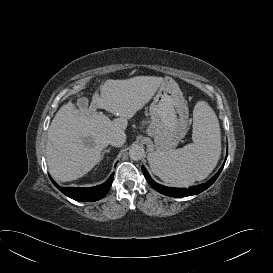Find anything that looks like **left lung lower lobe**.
<instances>
[{"mask_svg": "<svg viewBox=\"0 0 273 273\" xmlns=\"http://www.w3.org/2000/svg\"><path fill=\"white\" fill-rule=\"evenodd\" d=\"M224 164L222 165L220 170L217 172V174H215L208 182L201 184V185L192 186L189 189H187V188H172V187H166V186L160 185L152 180V178L149 176L148 172L146 171V169L143 166H142V172H143L147 182L151 185V187L154 188L155 190H157L158 192H160L161 194H164V195H167L170 197H187V196H192V195L201 193L202 191L209 188L215 182L217 177L219 176L221 170L224 167Z\"/></svg>", "mask_w": 273, "mask_h": 273, "instance_id": "left-lung-lower-lobe-1", "label": "left lung lower lobe"}]
</instances>
